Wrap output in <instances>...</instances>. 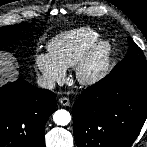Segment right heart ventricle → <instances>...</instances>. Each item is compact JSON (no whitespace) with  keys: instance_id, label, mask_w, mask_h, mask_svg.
Returning a JSON list of instances; mask_svg holds the SVG:
<instances>
[{"instance_id":"right-heart-ventricle-1","label":"right heart ventricle","mask_w":147,"mask_h":147,"mask_svg":"<svg viewBox=\"0 0 147 147\" xmlns=\"http://www.w3.org/2000/svg\"><path fill=\"white\" fill-rule=\"evenodd\" d=\"M99 38L98 32L81 27L53 37L47 44L49 55L65 69L77 64L90 44Z\"/></svg>"}]
</instances>
